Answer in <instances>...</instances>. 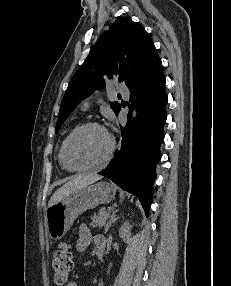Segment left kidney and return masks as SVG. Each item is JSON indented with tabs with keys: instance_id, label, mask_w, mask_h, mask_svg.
<instances>
[{
	"instance_id": "left-kidney-1",
	"label": "left kidney",
	"mask_w": 231,
	"mask_h": 286,
	"mask_svg": "<svg viewBox=\"0 0 231 286\" xmlns=\"http://www.w3.org/2000/svg\"><path fill=\"white\" fill-rule=\"evenodd\" d=\"M131 226L129 222H125L119 229V235L124 241L128 240L131 235Z\"/></svg>"
}]
</instances>
